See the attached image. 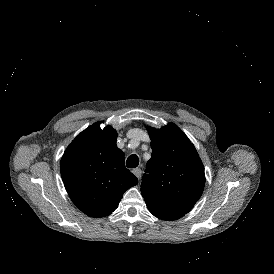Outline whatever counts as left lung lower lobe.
Listing matches in <instances>:
<instances>
[{
  "mask_svg": "<svg viewBox=\"0 0 274 274\" xmlns=\"http://www.w3.org/2000/svg\"><path fill=\"white\" fill-rule=\"evenodd\" d=\"M149 211L156 217L162 220H175L182 217L184 214L181 212L167 209L163 206L155 205L152 202L145 200Z\"/></svg>",
  "mask_w": 274,
  "mask_h": 274,
  "instance_id": "obj_1",
  "label": "left lung lower lobe"
}]
</instances>
